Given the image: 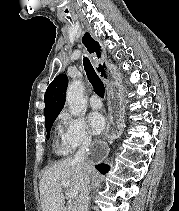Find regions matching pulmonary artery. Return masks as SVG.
<instances>
[{"mask_svg":"<svg viewBox=\"0 0 179 211\" xmlns=\"http://www.w3.org/2000/svg\"><path fill=\"white\" fill-rule=\"evenodd\" d=\"M89 104L91 106L92 109H100L102 107V101L100 99V97L96 94L92 95L90 100H89Z\"/></svg>","mask_w":179,"mask_h":211,"instance_id":"pulmonary-artery-1","label":"pulmonary artery"}]
</instances>
